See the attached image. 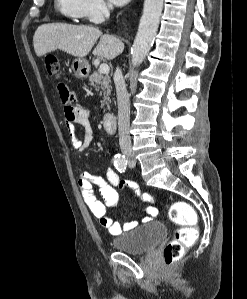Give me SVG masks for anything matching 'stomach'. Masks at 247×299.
I'll list each match as a JSON object with an SVG mask.
<instances>
[{
    "label": "stomach",
    "instance_id": "0dacf381",
    "mask_svg": "<svg viewBox=\"0 0 247 299\" xmlns=\"http://www.w3.org/2000/svg\"><path fill=\"white\" fill-rule=\"evenodd\" d=\"M71 68L74 75L78 78H86L89 75L90 65L87 60L83 58H76L73 60Z\"/></svg>",
    "mask_w": 247,
    "mask_h": 299
}]
</instances>
